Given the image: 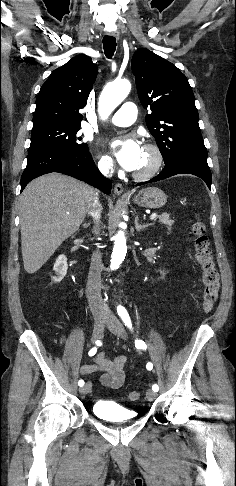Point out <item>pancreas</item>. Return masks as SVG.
<instances>
[{
    "mask_svg": "<svg viewBox=\"0 0 236 486\" xmlns=\"http://www.w3.org/2000/svg\"><path fill=\"white\" fill-rule=\"evenodd\" d=\"M169 214L167 213H163L162 215H160L158 218H159V222L170 227L174 224V220H171L169 218Z\"/></svg>",
    "mask_w": 236,
    "mask_h": 486,
    "instance_id": "pancreas-1",
    "label": "pancreas"
}]
</instances>
